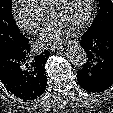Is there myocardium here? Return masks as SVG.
<instances>
[{
  "mask_svg": "<svg viewBox=\"0 0 113 113\" xmlns=\"http://www.w3.org/2000/svg\"><path fill=\"white\" fill-rule=\"evenodd\" d=\"M60 1L61 0H52L50 2L49 7L47 9V17L48 18H50L51 14L53 13V11L55 10V8L57 7V5L59 4ZM94 5H95V0H89L86 16L84 17V19L81 22H79L74 27V29H76V30L83 29L91 23V21L93 20V17H94Z\"/></svg>",
  "mask_w": 113,
  "mask_h": 113,
  "instance_id": "myocardium-1",
  "label": "myocardium"
}]
</instances>
